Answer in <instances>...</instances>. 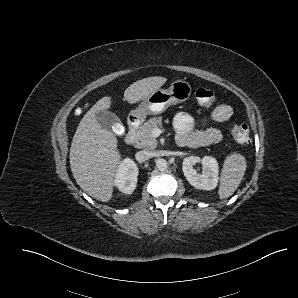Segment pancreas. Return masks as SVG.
Returning a JSON list of instances; mask_svg holds the SVG:
<instances>
[{
  "instance_id": "pancreas-1",
  "label": "pancreas",
  "mask_w": 298,
  "mask_h": 298,
  "mask_svg": "<svg viewBox=\"0 0 298 298\" xmlns=\"http://www.w3.org/2000/svg\"><path fill=\"white\" fill-rule=\"evenodd\" d=\"M162 126V116L152 117L139 127L136 132V144L139 148L155 149L158 141L152 137L151 132L155 127Z\"/></svg>"
}]
</instances>
